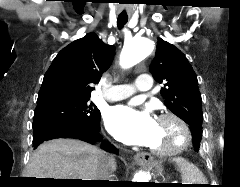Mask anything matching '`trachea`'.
<instances>
[{
	"mask_svg": "<svg viewBox=\"0 0 240 187\" xmlns=\"http://www.w3.org/2000/svg\"><path fill=\"white\" fill-rule=\"evenodd\" d=\"M128 17H118L117 19V25L121 29L124 27V25L127 23Z\"/></svg>",
	"mask_w": 240,
	"mask_h": 187,
	"instance_id": "3493384b",
	"label": "trachea"
}]
</instances>
